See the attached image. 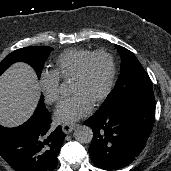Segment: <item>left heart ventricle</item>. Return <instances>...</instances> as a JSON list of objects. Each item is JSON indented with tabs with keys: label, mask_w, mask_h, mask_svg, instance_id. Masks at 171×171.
<instances>
[{
	"label": "left heart ventricle",
	"mask_w": 171,
	"mask_h": 171,
	"mask_svg": "<svg viewBox=\"0 0 171 171\" xmlns=\"http://www.w3.org/2000/svg\"><path fill=\"white\" fill-rule=\"evenodd\" d=\"M110 74L109 60L105 56L95 57L84 76L70 81V93L83 95L91 104L104 91Z\"/></svg>",
	"instance_id": "1"
}]
</instances>
